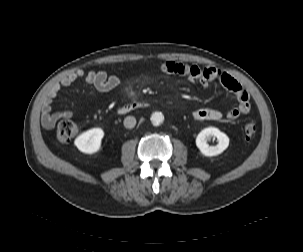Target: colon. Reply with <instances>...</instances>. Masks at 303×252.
Listing matches in <instances>:
<instances>
[{
  "instance_id": "colon-1",
  "label": "colon",
  "mask_w": 303,
  "mask_h": 252,
  "mask_svg": "<svg viewBox=\"0 0 303 252\" xmlns=\"http://www.w3.org/2000/svg\"><path fill=\"white\" fill-rule=\"evenodd\" d=\"M80 129L78 125L71 121V120H64L59 123L57 127V135L60 139L65 140V141H70L74 139ZM257 132V125L255 122H247L244 125V135L247 139L252 138Z\"/></svg>"
}]
</instances>
